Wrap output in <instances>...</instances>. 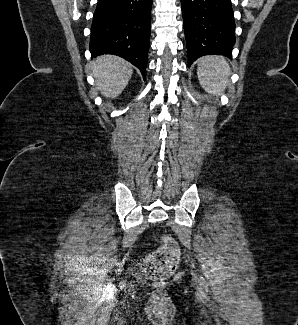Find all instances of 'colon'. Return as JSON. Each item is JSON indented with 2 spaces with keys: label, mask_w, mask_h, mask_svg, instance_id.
I'll return each instance as SVG.
<instances>
[{
  "label": "colon",
  "mask_w": 298,
  "mask_h": 325,
  "mask_svg": "<svg viewBox=\"0 0 298 325\" xmlns=\"http://www.w3.org/2000/svg\"><path fill=\"white\" fill-rule=\"evenodd\" d=\"M179 260V249L170 237H164L160 248L152 252L144 261L143 271L148 279L164 281L175 272Z\"/></svg>",
  "instance_id": "5ec220e1"
}]
</instances>
